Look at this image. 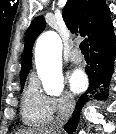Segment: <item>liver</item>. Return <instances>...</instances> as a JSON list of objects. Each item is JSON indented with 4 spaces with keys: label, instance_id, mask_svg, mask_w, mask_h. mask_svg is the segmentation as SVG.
Masks as SVG:
<instances>
[{
    "label": "liver",
    "instance_id": "6515ba94",
    "mask_svg": "<svg viewBox=\"0 0 116 134\" xmlns=\"http://www.w3.org/2000/svg\"><path fill=\"white\" fill-rule=\"evenodd\" d=\"M18 134H56V131H54L52 128H45L42 130L37 131H22Z\"/></svg>",
    "mask_w": 116,
    "mask_h": 134
}]
</instances>
